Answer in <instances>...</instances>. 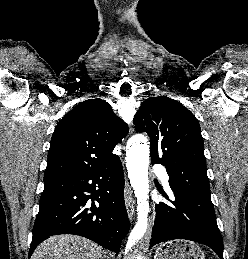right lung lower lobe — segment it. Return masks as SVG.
Returning a JSON list of instances; mask_svg holds the SVG:
<instances>
[{"label": "right lung lower lobe", "instance_id": "right-lung-lower-lobe-1", "mask_svg": "<svg viewBox=\"0 0 248 259\" xmlns=\"http://www.w3.org/2000/svg\"><path fill=\"white\" fill-rule=\"evenodd\" d=\"M130 227L119 157L103 167L44 181L29 257L46 238L76 234L115 253Z\"/></svg>", "mask_w": 248, "mask_h": 259}]
</instances>
